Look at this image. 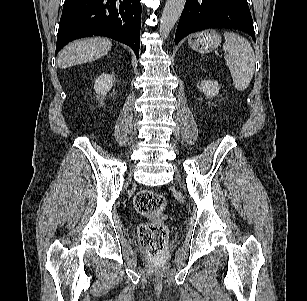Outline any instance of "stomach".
I'll list each match as a JSON object with an SVG mask.
<instances>
[{"label":"stomach","instance_id":"stomach-1","mask_svg":"<svg viewBox=\"0 0 307 301\" xmlns=\"http://www.w3.org/2000/svg\"><path fill=\"white\" fill-rule=\"evenodd\" d=\"M221 43L220 35L214 30H206L193 34L188 38L189 46L200 53H208Z\"/></svg>","mask_w":307,"mask_h":301}]
</instances>
